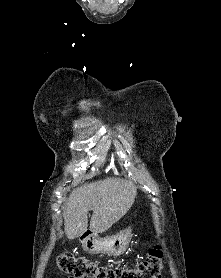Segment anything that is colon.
<instances>
[{"mask_svg":"<svg viewBox=\"0 0 221 278\" xmlns=\"http://www.w3.org/2000/svg\"><path fill=\"white\" fill-rule=\"evenodd\" d=\"M58 268L72 278H160L163 252L160 246L149 250L148 256L133 267L111 268L83 257L63 253L57 259Z\"/></svg>","mask_w":221,"mask_h":278,"instance_id":"obj_1","label":"colon"}]
</instances>
